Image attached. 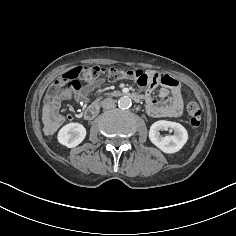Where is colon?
Returning <instances> with one entry per match:
<instances>
[{
    "instance_id": "colon-1",
    "label": "colon",
    "mask_w": 236,
    "mask_h": 236,
    "mask_svg": "<svg viewBox=\"0 0 236 236\" xmlns=\"http://www.w3.org/2000/svg\"><path fill=\"white\" fill-rule=\"evenodd\" d=\"M103 75H106L112 81L134 76L138 79L140 85L148 84L149 80V76L145 72H134L132 70H120L102 66H78L63 74V76L49 88V99L60 101L65 91L79 90L82 82L92 84L97 78ZM167 83L169 86H174L176 82L174 79H170ZM187 112L192 128L197 129L201 122V110L199 105L195 102H190L187 105Z\"/></svg>"
}]
</instances>
